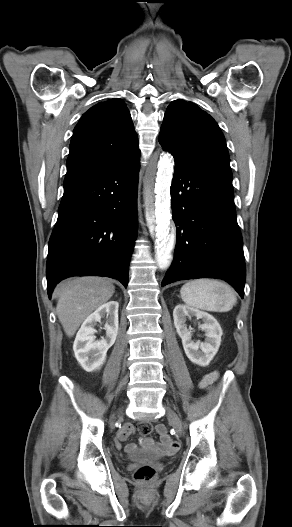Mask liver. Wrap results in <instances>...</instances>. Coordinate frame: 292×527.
Instances as JSON below:
<instances>
[{"label": "liver", "mask_w": 292, "mask_h": 527, "mask_svg": "<svg viewBox=\"0 0 292 527\" xmlns=\"http://www.w3.org/2000/svg\"><path fill=\"white\" fill-rule=\"evenodd\" d=\"M115 287L101 277H78L59 283L54 294L58 298L57 316L68 337L81 323L114 294Z\"/></svg>", "instance_id": "obj_1"}]
</instances>
